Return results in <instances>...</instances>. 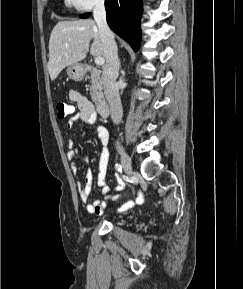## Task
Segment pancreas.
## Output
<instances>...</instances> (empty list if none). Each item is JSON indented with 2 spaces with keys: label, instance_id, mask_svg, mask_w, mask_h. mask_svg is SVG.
I'll use <instances>...</instances> for the list:
<instances>
[{
  "label": "pancreas",
  "instance_id": "1",
  "mask_svg": "<svg viewBox=\"0 0 243 289\" xmlns=\"http://www.w3.org/2000/svg\"><path fill=\"white\" fill-rule=\"evenodd\" d=\"M101 72L97 69H92L90 79H91V87H90V95L93 102L98 103L103 98L102 93V78Z\"/></svg>",
  "mask_w": 243,
  "mask_h": 289
}]
</instances>
